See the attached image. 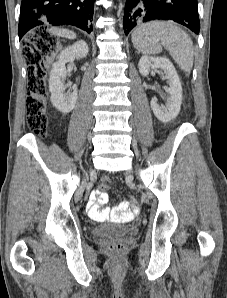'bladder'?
I'll return each mask as SVG.
<instances>
[{"instance_id": "bladder-1", "label": "bladder", "mask_w": 227, "mask_h": 298, "mask_svg": "<svg viewBox=\"0 0 227 298\" xmlns=\"http://www.w3.org/2000/svg\"><path fill=\"white\" fill-rule=\"evenodd\" d=\"M130 229L128 225L107 223L93 227L91 233L99 238H115L126 235Z\"/></svg>"}]
</instances>
